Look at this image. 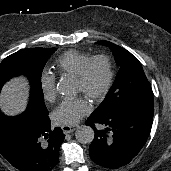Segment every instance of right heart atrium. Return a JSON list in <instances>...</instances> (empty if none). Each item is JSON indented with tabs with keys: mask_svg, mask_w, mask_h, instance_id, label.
Instances as JSON below:
<instances>
[{
	"mask_svg": "<svg viewBox=\"0 0 171 171\" xmlns=\"http://www.w3.org/2000/svg\"><path fill=\"white\" fill-rule=\"evenodd\" d=\"M39 86L43 99L47 102H53L56 98L55 76L48 71H43L40 75Z\"/></svg>",
	"mask_w": 171,
	"mask_h": 171,
	"instance_id": "d8ad5b80",
	"label": "right heart atrium"
}]
</instances>
